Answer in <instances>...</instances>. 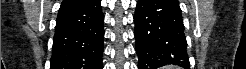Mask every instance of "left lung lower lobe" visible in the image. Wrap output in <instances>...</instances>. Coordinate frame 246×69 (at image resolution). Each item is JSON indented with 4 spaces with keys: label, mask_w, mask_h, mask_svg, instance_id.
I'll return each mask as SVG.
<instances>
[{
    "label": "left lung lower lobe",
    "mask_w": 246,
    "mask_h": 69,
    "mask_svg": "<svg viewBox=\"0 0 246 69\" xmlns=\"http://www.w3.org/2000/svg\"><path fill=\"white\" fill-rule=\"evenodd\" d=\"M134 22L139 69L189 67L181 10L169 0H139Z\"/></svg>",
    "instance_id": "1"
}]
</instances>
